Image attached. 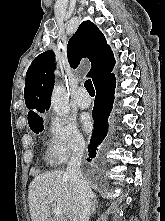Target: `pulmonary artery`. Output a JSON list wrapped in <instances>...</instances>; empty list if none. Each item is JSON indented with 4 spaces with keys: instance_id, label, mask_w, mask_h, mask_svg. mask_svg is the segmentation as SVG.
Returning a JSON list of instances; mask_svg holds the SVG:
<instances>
[{
    "instance_id": "obj_1",
    "label": "pulmonary artery",
    "mask_w": 165,
    "mask_h": 221,
    "mask_svg": "<svg viewBox=\"0 0 165 221\" xmlns=\"http://www.w3.org/2000/svg\"><path fill=\"white\" fill-rule=\"evenodd\" d=\"M76 105L80 109H87L91 105V99L87 95V92L84 88H80L76 98Z\"/></svg>"
}]
</instances>
